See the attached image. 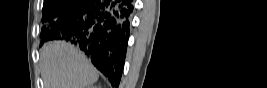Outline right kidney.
Listing matches in <instances>:
<instances>
[{"instance_id": "ca27d5eb", "label": "right kidney", "mask_w": 267, "mask_h": 88, "mask_svg": "<svg viewBox=\"0 0 267 88\" xmlns=\"http://www.w3.org/2000/svg\"><path fill=\"white\" fill-rule=\"evenodd\" d=\"M88 88H96V86H89Z\"/></svg>"}]
</instances>
